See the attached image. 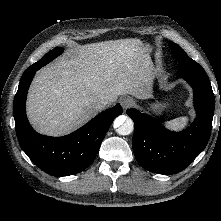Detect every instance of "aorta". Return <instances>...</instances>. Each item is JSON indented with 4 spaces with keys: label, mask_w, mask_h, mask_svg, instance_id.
Segmentation results:
<instances>
[{
    "label": "aorta",
    "mask_w": 221,
    "mask_h": 221,
    "mask_svg": "<svg viewBox=\"0 0 221 221\" xmlns=\"http://www.w3.org/2000/svg\"><path fill=\"white\" fill-rule=\"evenodd\" d=\"M114 128L120 135H129L134 130V123L130 117L120 115L114 121Z\"/></svg>",
    "instance_id": "obj_1"
}]
</instances>
